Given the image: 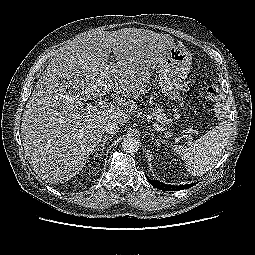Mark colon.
Wrapping results in <instances>:
<instances>
[{
  "label": "colon",
  "mask_w": 255,
  "mask_h": 255,
  "mask_svg": "<svg viewBox=\"0 0 255 255\" xmlns=\"http://www.w3.org/2000/svg\"><path fill=\"white\" fill-rule=\"evenodd\" d=\"M184 86L183 88H185ZM208 95L210 98H215L217 96V90L215 88L208 89ZM170 105L174 111H177L182 106V97L180 95H174L170 98Z\"/></svg>",
  "instance_id": "1"
}]
</instances>
